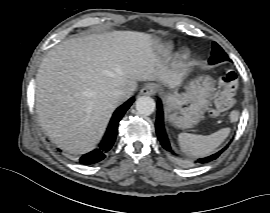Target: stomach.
<instances>
[{
	"instance_id": "0dacf381",
	"label": "stomach",
	"mask_w": 270,
	"mask_h": 213,
	"mask_svg": "<svg viewBox=\"0 0 270 213\" xmlns=\"http://www.w3.org/2000/svg\"><path fill=\"white\" fill-rule=\"evenodd\" d=\"M185 89L184 93L175 89L163 95L167 120L181 129L192 128L203 119L215 88L210 77L199 76Z\"/></svg>"
}]
</instances>
